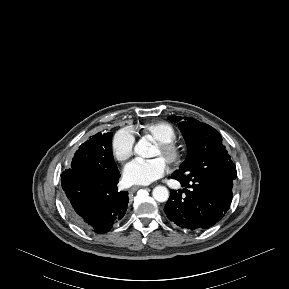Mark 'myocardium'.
I'll list each match as a JSON object with an SVG mask.
<instances>
[{
    "label": "myocardium",
    "mask_w": 289,
    "mask_h": 289,
    "mask_svg": "<svg viewBox=\"0 0 289 289\" xmlns=\"http://www.w3.org/2000/svg\"><path fill=\"white\" fill-rule=\"evenodd\" d=\"M154 146L167 157V167L175 169L183 161L184 149L175 140L167 142H156Z\"/></svg>",
    "instance_id": "1"
}]
</instances>
